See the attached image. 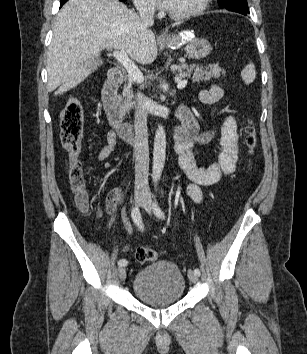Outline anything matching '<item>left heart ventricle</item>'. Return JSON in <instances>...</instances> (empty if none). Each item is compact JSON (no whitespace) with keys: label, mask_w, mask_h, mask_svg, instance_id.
Returning <instances> with one entry per match:
<instances>
[{"label":"left heart ventricle","mask_w":307,"mask_h":354,"mask_svg":"<svg viewBox=\"0 0 307 354\" xmlns=\"http://www.w3.org/2000/svg\"><path fill=\"white\" fill-rule=\"evenodd\" d=\"M199 0H175L171 12L183 13L193 8Z\"/></svg>","instance_id":"obj_1"}]
</instances>
